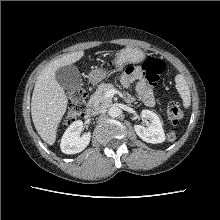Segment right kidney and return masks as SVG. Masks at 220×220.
I'll list each match as a JSON object with an SVG mask.
<instances>
[{
	"label": "right kidney",
	"instance_id": "obj_1",
	"mask_svg": "<svg viewBox=\"0 0 220 220\" xmlns=\"http://www.w3.org/2000/svg\"><path fill=\"white\" fill-rule=\"evenodd\" d=\"M83 122L77 120L73 122L62 136L60 148L65 154H76L83 151L89 144L91 133H85L80 137Z\"/></svg>",
	"mask_w": 220,
	"mask_h": 220
}]
</instances>
